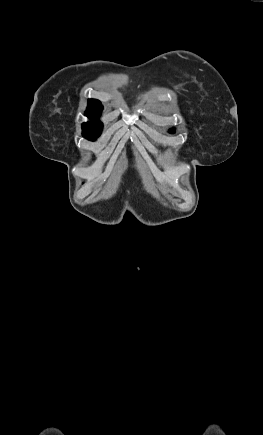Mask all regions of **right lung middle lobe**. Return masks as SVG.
I'll return each instance as SVG.
<instances>
[{
	"label": "right lung middle lobe",
	"instance_id": "dd1d6c3e",
	"mask_svg": "<svg viewBox=\"0 0 263 435\" xmlns=\"http://www.w3.org/2000/svg\"><path fill=\"white\" fill-rule=\"evenodd\" d=\"M101 131L100 127H83V136L93 141L101 134Z\"/></svg>",
	"mask_w": 263,
	"mask_h": 435
}]
</instances>
